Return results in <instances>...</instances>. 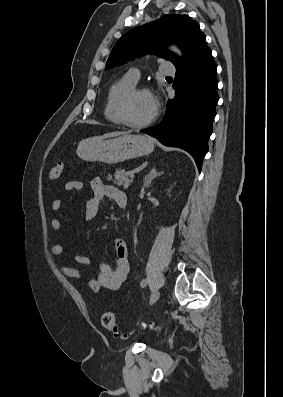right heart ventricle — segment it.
Instances as JSON below:
<instances>
[{
    "mask_svg": "<svg viewBox=\"0 0 283 397\" xmlns=\"http://www.w3.org/2000/svg\"><path fill=\"white\" fill-rule=\"evenodd\" d=\"M134 86L136 83L127 76L119 78L109 86L104 103V115L109 122L121 124L117 114V103L120 97Z\"/></svg>",
    "mask_w": 283,
    "mask_h": 397,
    "instance_id": "obj_1",
    "label": "right heart ventricle"
}]
</instances>
